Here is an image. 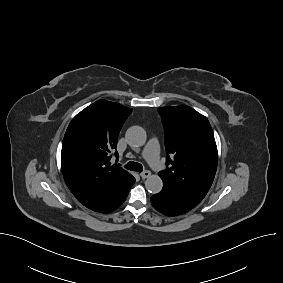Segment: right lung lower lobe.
Here are the masks:
<instances>
[{"label": "right lung lower lobe", "instance_id": "98d812e1", "mask_svg": "<svg viewBox=\"0 0 283 283\" xmlns=\"http://www.w3.org/2000/svg\"><path fill=\"white\" fill-rule=\"evenodd\" d=\"M135 182V178L133 177L131 183L129 184V186L125 189V191L120 194L114 202H112L110 205H108L107 207L96 211V212H101V213H109L114 211L115 209H117L120 205H122V203L126 200L127 196H128V192L130 190V188L132 187V185Z\"/></svg>", "mask_w": 283, "mask_h": 283}]
</instances>
